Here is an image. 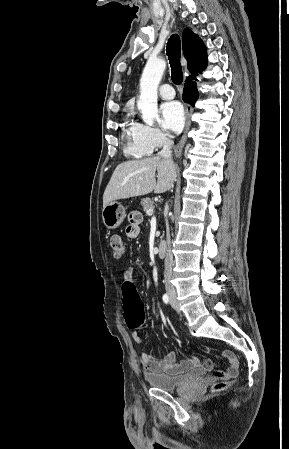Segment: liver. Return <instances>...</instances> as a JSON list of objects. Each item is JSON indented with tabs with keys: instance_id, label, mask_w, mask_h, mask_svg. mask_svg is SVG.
I'll return each mask as SVG.
<instances>
[{
	"instance_id": "obj_1",
	"label": "liver",
	"mask_w": 289,
	"mask_h": 449,
	"mask_svg": "<svg viewBox=\"0 0 289 449\" xmlns=\"http://www.w3.org/2000/svg\"><path fill=\"white\" fill-rule=\"evenodd\" d=\"M176 176L174 163L159 156L123 162L114 170L104 191L103 207L115 200L142 196L152 191L163 193L173 186Z\"/></svg>"
}]
</instances>
